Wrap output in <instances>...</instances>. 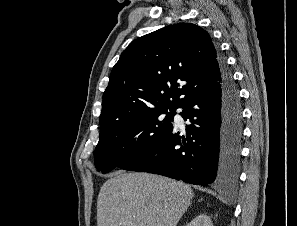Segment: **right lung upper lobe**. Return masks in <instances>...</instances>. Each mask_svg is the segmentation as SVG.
Returning a JSON list of instances; mask_svg holds the SVG:
<instances>
[{"mask_svg": "<svg viewBox=\"0 0 297 226\" xmlns=\"http://www.w3.org/2000/svg\"><path fill=\"white\" fill-rule=\"evenodd\" d=\"M220 59L208 32L191 23L134 40L111 72L101 129L149 111L180 108L188 97L220 81Z\"/></svg>", "mask_w": 297, "mask_h": 226, "instance_id": "obj_1", "label": "right lung upper lobe"}]
</instances>
